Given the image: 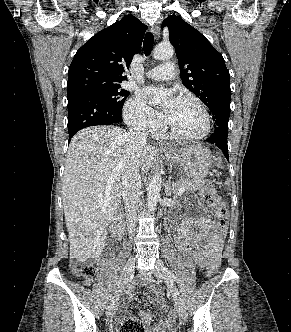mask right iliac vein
Masks as SVG:
<instances>
[{"mask_svg":"<svg viewBox=\"0 0 291 332\" xmlns=\"http://www.w3.org/2000/svg\"><path fill=\"white\" fill-rule=\"evenodd\" d=\"M134 267H135V259H133V258L128 259V261L126 262V264L124 266L121 277H120V285H119V289L116 292L117 293L116 297L113 299V301L111 302V304L107 308L106 316L108 318H110L114 315L115 307H116V301L118 299L119 293L122 291L124 285L128 281L130 275L132 274V272L134 270Z\"/></svg>","mask_w":291,"mask_h":332,"instance_id":"obj_1","label":"right iliac vein"}]
</instances>
